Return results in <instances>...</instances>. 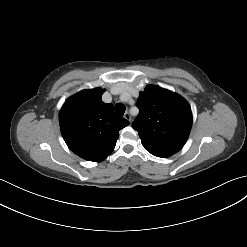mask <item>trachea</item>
Segmentation results:
<instances>
[{
	"instance_id": "obj_1",
	"label": "trachea",
	"mask_w": 247,
	"mask_h": 247,
	"mask_svg": "<svg viewBox=\"0 0 247 247\" xmlns=\"http://www.w3.org/2000/svg\"><path fill=\"white\" fill-rule=\"evenodd\" d=\"M125 106L121 103H118L116 106H115V112L117 115L119 116H122L124 113H125Z\"/></svg>"
}]
</instances>
